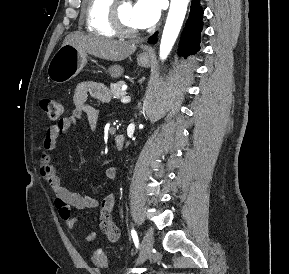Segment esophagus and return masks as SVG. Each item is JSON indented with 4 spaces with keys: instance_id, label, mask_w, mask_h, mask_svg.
<instances>
[{
    "instance_id": "34e87169",
    "label": "esophagus",
    "mask_w": 289,
    "mask_h": 274,
    "mask_svg": "<svg viewBox=\"0 0 289 274\" xmlns=\"http://www.w3.org/2000/svg\"><path fill=\"white\" fill-rule=\"evenodd\" d=\"M149 53H150V51L145 52V54H149Z\"/></svg>"
}]
</instances>
